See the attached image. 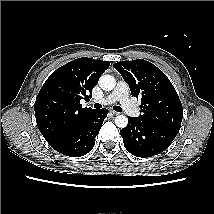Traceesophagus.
Masks as SVG:
<instances>
[{
	"label": "esophagus",
	"instance_id": "34e87169",
	"mask_svg": "<svg viewBox=\"0 0 214 214\" xmlns=\"http://www.w3.org/2000/svg\"><path fill=\"white\" fill-rule=\"evenodd\" d=\"M111 112H112V114L115 115V116L119 115V112H116V111H113V110H112Z\"/></svg>",
	"mask_w": 214,
	"mask_h": 214
}]
</instances>
